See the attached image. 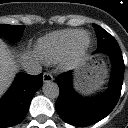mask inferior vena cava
Here are the masks:
<instances>
[{
	"mask_svg": "<svg viewBox=\"0 0 128 128\" xmlns=\"http://www.w3.org/2000/svg\"><path fill=\"white\" fill-rule=\"evenodd\" d=\"M23 69L30 75H38L42 72L41 65L33 61L25 62Z\"/></svg>",
	"mask_w": 128,
	"mask_h": 128,
	"instance_id": "obj_1",
	"label": "inferior vena cava"
}]
</instances>
